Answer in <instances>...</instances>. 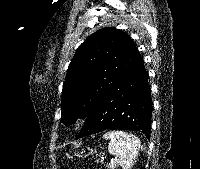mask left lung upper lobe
I'll list each match as a JSON object with an SVG mask.
<instances>
[{
  "mask_svg": "<svg viewBox=\"0 0 200 169\" xmlns=\"http://www.w3.org/2000/svg\"><path fill=\"white\" fill-rule=\"evenodd\" d=\"M143 62L133 40L116 28H102L77 49L63 84L61 122L87 117L98 102Z\"/></svg>",
  "mask_w": 200,
  "mask_h": 169,
  "instance_id": "left-lung-upper-lobe-1",
  "label": "left lung upper lobe"
}]
</instances>
